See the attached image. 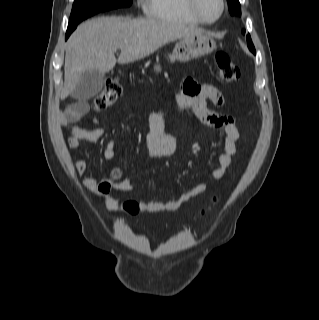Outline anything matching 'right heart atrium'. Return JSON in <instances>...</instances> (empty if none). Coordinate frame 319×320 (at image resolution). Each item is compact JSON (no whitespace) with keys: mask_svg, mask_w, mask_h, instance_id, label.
I'll list each match as a JSON object with an SVG mask.
<instances>
[{"mask_svg":"<svg viewBox=\"0 0 319 320\" xmlns=\"http://www.w3.org/2000/svg\"><path fill=\"white\" fill-rule=\"evenodd\" d=\"M145 0H138V3L141 5Z\"/></svg>","mask_w":319,"mask_h":320,"instance_id":"obj_1","label":"right heart atrium"}]
</instances>
